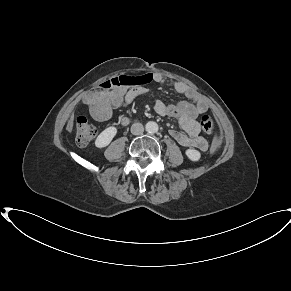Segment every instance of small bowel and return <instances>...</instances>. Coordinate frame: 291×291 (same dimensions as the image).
I'll list each match as a JSON object with an SVG mask.
<instances>
[{
	"mask_svg": "<svg viewBox=\"0 0 291 291\" xmlns=\"http://www.w3.org/2000/svg\"><path fill=\"white\" fill-rule=\"evenodd\" d=\"M142 84L155 81L170 85L175 92L184 95L187 101L177 104H166L161 100L154 101V110L160 116H170L178 120L183 131L170 130V135L182 146L195 148L200 151L208 149V143L200 135V128L196 121L197 115L208 109L207 102L201 98L191 87L181 81H169L159 73L146 74L140 78ZM149 90L137 85L131 88H117L104 92L99 97L95 92L84 96L83 102L89 106L91 116L97 121H104L111 116L112 109H123L140 96L148 94Z\"/></svg>",
	"mask_w": 291,
	"mask_h": 291,
	"instance_id": "c3829d8e",
	"label": "small bowel"
}]
</instances>
